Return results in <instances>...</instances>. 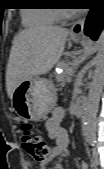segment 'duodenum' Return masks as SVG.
<instances>
[{"mask_svg":"<svg viewBox=\"0 0 104 169\" xmlns=\"http://www.w3.org/2000/svg\"><path fill=\"white\" fill-rule=\"evenodd\" d=\"M86 108V101L83 99L77 100L74 107V114L76 117H82Z\"/></svg>","mask_w":104,"mask_h":169,"instance_id":"obj_1","label":"duodenum"}]
</instances>
